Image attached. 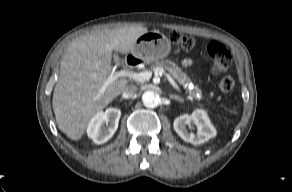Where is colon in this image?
Instances as JSON below:
<instances>
[{
	"label": "colon",
	"instance_id": "1",
	"mask_svg": "<svg viewBox=\"0 0 292 192\" xmlns=\"http://www.w3.org/2000/svg\"><path fill=\"white\" fill-rule=\"evenodd\" d=\"M171 40L181 49L188 51L194 47V39L190 36L173 33ZM208 52L212 60V71L215 75L226 72L231 65V53L227 47L219 41H211L208 45ZM234 87V80L231 76H224L219 84L222 93H229Z\"/></svg>",
	"mask_w": 292,
	"mask_h": 192
}]
</instances>
